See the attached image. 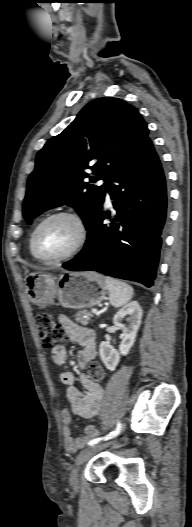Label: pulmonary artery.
<instances>
[{
    "label": "pulmonary artery",
    "instance_id": "obj_1",
    "mask_svg": "<svg viewBox=\"0 0 192 527\" xmlns=\"http://www.w3.org/2000/svg\"><path fill=\"white\" fill-rule=\"evenodd\" d=\"M99 183H100V184H106V181H105V180H100ZM110 200H111V199H110L109 192L106 191V201H107V203H110Z\"/></svg>",
    "mask_w": 192,
    "mask_h": 527
}]
</instances>
